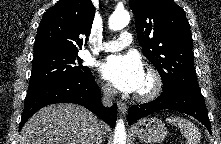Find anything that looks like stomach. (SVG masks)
<instances>
[{
    "label": "stomach",
    "mask_w": 221,
    "mask_h": 144,
    "mask_svg": "<svg viewBox=\"0 0 221 144\" xmlns=\"http://www.w3.org/2000/svg\"><path fill=\"white\" fill-rule=\"evenodd\" d=\"M137 137L150 144L162 142L167 135L165 124L156 117L143 119L135 127Z\"/></svg>",
    "instance_id": "obj_1"
}]
</instances>
